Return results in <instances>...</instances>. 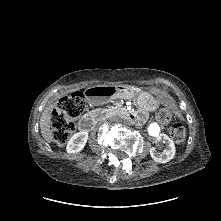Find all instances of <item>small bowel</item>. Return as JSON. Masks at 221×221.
Returning <instances> with one entry per match:
<instances>
[{"label":"small bowel","mask_w":221,"mask_h":221,"mask_svg":"<svg viewBox=\"0 0 221 221\" xmlns=\"http://www.w3.org/2000/svg\"><path fill=\"white\" fill-rule=\"evenodd\" d=\"M162 100H163L166 104H168V105H171V104H172V98L169 97V96H164V97H162ZM141 118H142V116H141Z\"/></svg>","instance_id":"1"}]
</instances>
